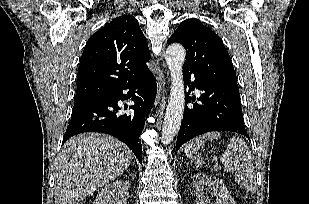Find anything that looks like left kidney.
I'll return each mask as SVG.
<instances>
[{
  "label": "left kidney",
  "mask_w": 309,
  "mask_h": 204,
  "mask_svg": "<svg viewBox=\"0 0 309 204\" xmlns=\"http://www.w3.org/2000/svg\"><path fill=\"white\" fill-rule=\"evenodd\" d=\"M192 185L197 204H235L227 188L215 177L197 173L193 176ZM205 187L213 191L216 197L214 203L210 202L208 195L204 192Z\"/></svg>",
  "instance_id": "obj_1"
}]
</instances>
